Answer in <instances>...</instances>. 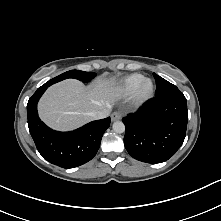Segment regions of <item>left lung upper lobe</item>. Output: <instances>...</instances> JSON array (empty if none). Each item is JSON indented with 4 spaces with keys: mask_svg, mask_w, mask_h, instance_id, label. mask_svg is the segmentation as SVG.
I'll return each instance as SVG.
<instances>
[{
    "mask_svg": "<svg viewBox=\"0 0 221 221\" xmlns=\"http://www.w3.org/2000/svg\"><path fill=\"white\" fill-rule=\"evenodd\" d=\"M153 75L156 81L155 96H163L166 94L180 92V90L175 85L171 84L170 82H168L167 80L163 79L155 73Z\"/></svg>",
    "mask_w": 221,
    "mask_h": 221,
    "instance_id": "5c2ea615",
    "label": "left lung upper lobe"
}]
</instances>
